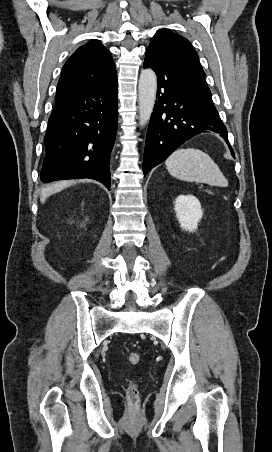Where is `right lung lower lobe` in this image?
<instances>
[{
  "instance_id": "right-lung-lower-lobe-1",
  "label": "right lung lower lobe",
  "mask_w": 272,
  "mask_h": 452,
  "mask_svg": "<svg viewBox=\"0 0 272 452\" xmlns=\"http://www.w3.org/2000/svg\"><path fill=\"white\" fill-rule=\"evenodd\" d=\"M117 124V78L55 105L44 138L41 181L90 178L110 190Z\"/></svg>"
}]
</instances>
